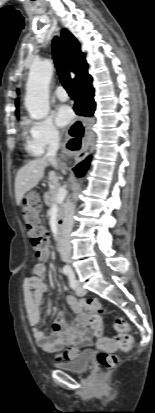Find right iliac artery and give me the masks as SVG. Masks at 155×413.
<instances>
[{
  "label": "right iliac artery",
  "mask_w": 155,
  "mask_h": 413,
  "mask_svg": "<svg viewBox=\"0 0 155 413\" xmlns=\"http://www.w3.org/2000/svg\"><path fill=\"white\" fill-rule=\"evenodd\" d=\"M68 272H69V270H68V269L64 270V273H65V274H68Z\"/></svg>",
  "instance_id": "82829eb1"
}]
</instances>
